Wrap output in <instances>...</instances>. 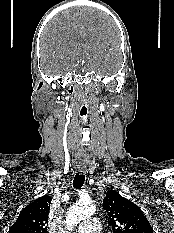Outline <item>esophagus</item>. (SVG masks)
Wrapping results in <instances>:
<instances>
[{
  "mask_svg": "<svg viewBox=\"0 0 174 233\" xmlns=\"http://www.w3.org/2000/svg\"><path fill=\"white\" fill-rule=\"evenodd\" d=\"M78 172L80 174H85L87 172V169L86 168H78Z\"/></svg>",
  "mask_w": 174,
  "mask_h": 233,
  "instance_id": "34e87169",
  "label": "esophagus"
}]
</instances>
